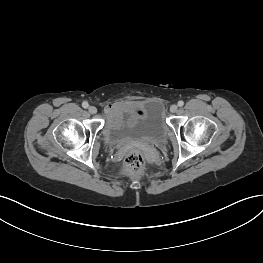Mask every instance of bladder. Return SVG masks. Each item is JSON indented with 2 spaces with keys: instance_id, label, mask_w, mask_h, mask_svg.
I'll return each mask as SVG.
<instances>
[{
  "instance_id": "obj_1",
  "label": "bladder",
  "mask_w": 263,
  "mask_h": 263,
  "mask_svg": "<svg viewBox=\"0 0 263 263\" xmlns=\"http://www.w3.org/2000/svg\"><path fill=\"white\" fill-rule=\"evenodd\" d=\"M166 132L162 106L158 101H130L111 112L104 136L110 144L131 139L157 143L165 138Z\"/></svg>"
}]
</instances>
